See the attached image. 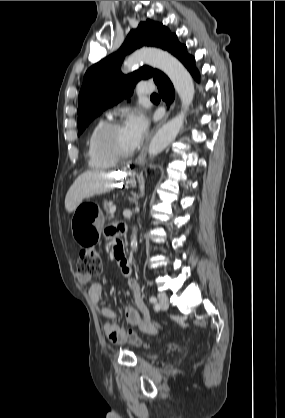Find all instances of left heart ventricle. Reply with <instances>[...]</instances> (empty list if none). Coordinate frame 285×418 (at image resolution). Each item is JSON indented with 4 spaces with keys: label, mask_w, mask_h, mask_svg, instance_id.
Instances as JSON below:
<instances>
[{
    "label": "left heart ventricle",
    "mask_w": 285,
    "mask_h": 418,
    "mask_svg": "<svg viewBox=\"0 0 285 418\" xmlns=\"http://www.w3.org/2000/svg\"><path fill=\"white\" fill-rule=\"evenodd\" d=\"M110 144L116 151L120 153H125L134 147L130 136L124 127L113 132L110 138Z\"/></svg>",
    "instance_id": "b2bd125f"
}]
</instances>
